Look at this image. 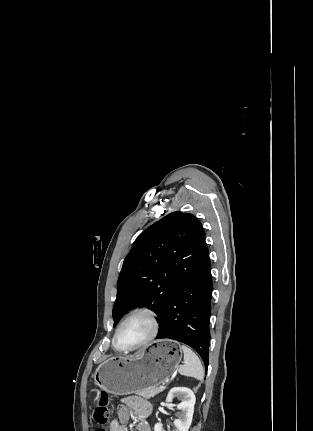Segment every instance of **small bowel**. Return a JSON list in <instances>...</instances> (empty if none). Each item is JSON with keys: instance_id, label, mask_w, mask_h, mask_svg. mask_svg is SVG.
Instances as JSON below:
<instances>
[{"instance_id": "small-bowel-1", "label": "small bowel", "mask_w": 313, "mask_h": 431, "mask_svg": "<svg viewBox=\"0 0 313 431\" xmlns=\"http://www.w3.org/2000/svg\"><path fill=\"white\" fill-rule=\"evenodd\" d=\"M130 410L139 418L136 431H151L148 418L151 414V404L138 397L125 398L123 403L116 406V418L110 424V431H128L126 426Z\"/></svg>"}]
</instances>
